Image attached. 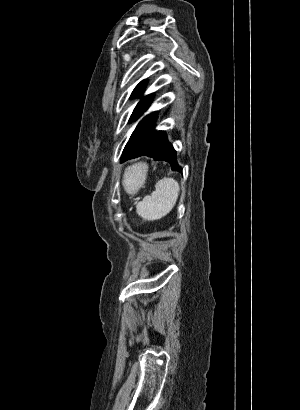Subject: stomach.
Instances as JSON below:
<instances>
[{
  "mask_svg": "<svg viewBox=\"0 0 300 410\" xmlns=\"http://www.w3.org/2000/svg\"><path fill=\"white\" fill-rule=\"evenodd\" d=\"M146 172H147V169H146ZM145 179H146V173H145V178L142 179L143 180L142 184L139 187H136L134 191L138 190L143 185V183L145 182Z\"/></svg>",
  "mask_w": 300,
  "mask_h": 410,
  "instance_id": "1",
  "label": "stomach"
}]
</instances>
